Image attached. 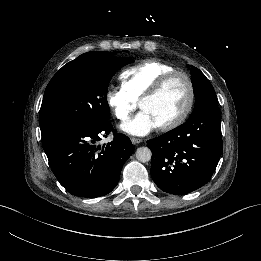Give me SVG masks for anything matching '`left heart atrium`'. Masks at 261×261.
<instances>
[{"label":"left heart atrium","mask_w":261,"mask_h":261,"mask_svg":"<svg viewBox=\"0 0 261 261\" xmlns=\"http://www.w3.org/2000/svg\"><path fill=\"white\" fill-rule=\"evenodd\" d=\"M158 127L151 115L141 110L132 120L122 126V129L134 136H145Z\"/></svg>","instance_id":"1"}]
</instances>
